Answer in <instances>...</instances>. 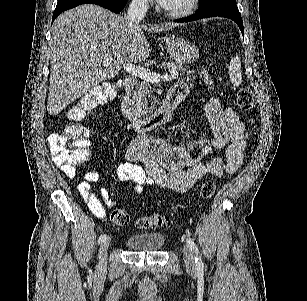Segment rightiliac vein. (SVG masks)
Masks as SVG:
<instances>
[{"label":"right iliac vein","mask_w":307,"mask_h":301,"mask_svg":"<svg viewBox=\"0 0 307 301\" xmlns=\"http://www.w3.org/2000/svg\"><path fill=\"white\" fill-rule=\"evenodd\" d=\"M111 243V237H108L106 240H104L99 248V262H98V268L100 270H103L106 268L107 264V250Z\"/></svg>","instance_id":"right-iliac-vein-1"}]
</instances>
